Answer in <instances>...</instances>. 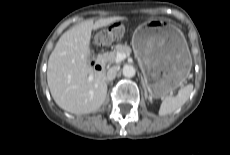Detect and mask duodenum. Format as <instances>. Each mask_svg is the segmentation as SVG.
<instances>
[{"label":"duodenum","mask_w":230,"mask_h":155,"mask_svg":"<svg viewBox=\"0 0 230 155\" xmlns=\"http://www.w3.org/2000/svg\"><path fill=\"white\" fill-rule=\"evenodd\" d=\"M94 69L97 74H104L105 72V64L101 58H98L94 63Z\"/></svg>","instance_id":"obj_1"}]
</instances>
